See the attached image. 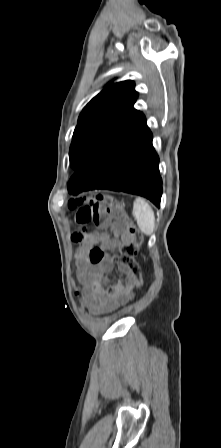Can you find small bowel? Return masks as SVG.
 Instances as JSON below:
<instances>
[{"mask_svg":"<svg viewBox=\"0 0 221 448\" xmlns=\"http://www.w3.org/2000/svg\"><path fill=\"white\" fill-rule=\"evenodd\" d=\"M111 235L97 234L84 238L80 233L71 234V240L80 245L78 250L77 268L79 281L83 285L85 305L96 314H106L126 304L133 296L134 282L131 274L122 265H116L110 258H105L99 264H91L86 253L91 245L98 243L113 249L129 240L128 234L119 225H111ZM116 268L118 278L106 288L107 275Z\"/></svg>","mask_w":221,"mask_h":448,"instance_id":"small-bowel-1","label":"small bowel"}]
</instances>
